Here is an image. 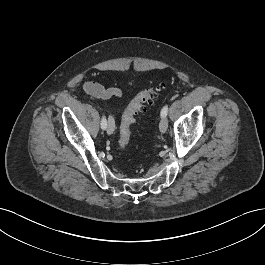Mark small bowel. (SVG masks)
<instances>
[{
	"label": "small bowel",
	"instance_id": "1",
	"mask_svg": "<svg viewBox=\"0 0 265 265\" xmlns=\"http://www.w3.org/2000/svg\"><path fill=\"white\" fill-rule=\"evenodd\" d=\"M83 89L87 94L98 99L121 98L123 96V92L120 88H106L93 81H86L83 84Z\"/></svg>",
	"mask_w": 265,
	"mask_h": 265
}]
</instances>
